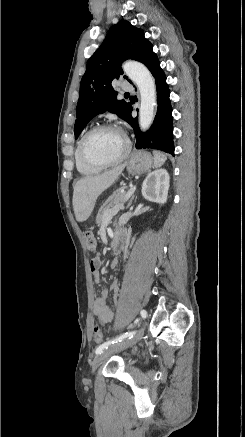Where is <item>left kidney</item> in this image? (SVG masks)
Here are the masks:
<instances>
[{
    "mask_svg": "<svg viewBox=\"0 0 245 437\" xmlns=\"http://www.w3.org/2000/svg\"><path fill=\"white\" fill-rule=\"evenodd\" d=\"M170 177L165 169H158L148 174L142 184V195L150 201L164 204L167 201Z\"/></svg>",
    "mask_w": 245,
    "mask_h": 437,
    "instance_id": "obj_1",
    "label": "left kidney"
}]
</instances>
